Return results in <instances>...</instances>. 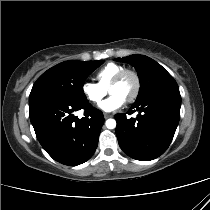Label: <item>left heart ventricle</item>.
<instances>
[{
	"instance_id": "obj_1",
	"label": "left heart ventricle",
	"mask_w": 210,
	"mask_h": 210,
	"mask_svg": "<svg viewBox=\"0 0 210 210\" xmlns=\"http://www.w3.org/2000/svg\"><path fill=\"white\" fill-rule=\"evenodd\" d=\"M135 90V80L132 76H127L124 78V80L109 89V93L112 94H117L121 96L124 100H126L129 96L132 95V93Z\"/></svg>"
}]
</instances>
